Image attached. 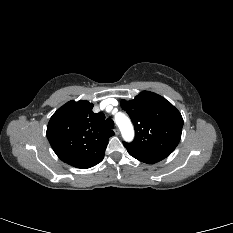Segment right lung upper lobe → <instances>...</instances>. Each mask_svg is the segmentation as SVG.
Returning a JSON list of instances; mask_svg holds the SVG:
<instances>
[{"label":"right lung upper lobe","instance_id":"1","mask_svg":"<svg viewBox=\"0 0 233 233\" xmlns=\"http://www.w3.org/2000/svg\"><path fill=\"white\" fill-rule=\"evenodd\" d=\"M93 104L69 101L51 117L47 138L56 155L65 163L86 169L102 161L108 138L114 134L105 127L103 113H93Z\"/></svg>","mask_w":233,"mask_h":233}]
</instances>
